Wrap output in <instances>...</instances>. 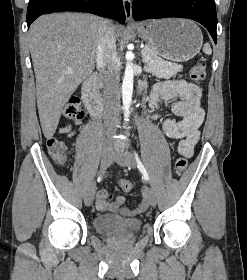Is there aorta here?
Returning <instances> with one entry per match:
<instances>
[{"label":"aorta","mask_w":247,"mask_h":280,"mask_svg":"<svg viewBox=\"0 0 247 280\" xmlns=\"http://www.w3.org/2000/svg\"><path fill=\"white\" fill-rule=\"evenodd\" d=\"M132 59L133 53L128 51L126 53V69L123 78L122 84V102H123V109H124V117L125 121H129V114H130V105L132 102V93H133V67H132Z\"/></svg>","instance_id":"762f6f07"}]
</instances>
